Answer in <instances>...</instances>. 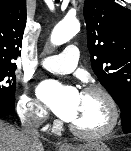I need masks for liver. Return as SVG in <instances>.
Returning <instances> with one entry per match:
<instances>
[{"mask_svg": "<svg viewBox=\"0 0 131 151\" xmlns=\"http://www.w3.org/2000/svg\"><path fill=\"white\" fill-rule=\"evenodd\" d=\"M0 151H44V147L0 120Z\"/></svg>", "mask_w": 131, "mask_h": 151, "instance_id": "1", "label": "liver"}]
</instances>
